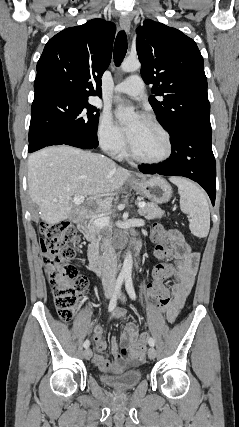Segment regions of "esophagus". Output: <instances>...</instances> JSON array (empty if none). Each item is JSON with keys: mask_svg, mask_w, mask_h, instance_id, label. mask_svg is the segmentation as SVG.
<instances>
[{"mask_svg": "<svg viewBox=\"0 0 239 427\" xmlns=\"http://www.w3.org/2000/svg\"><path fill=\"white\" fill-rule=\"evenodd\" d=\"M120 26L127 33H130V20L127 16L120 17Z\"/></svg>", "mask_w": 239, "mask_h": 427, "instance_id": "1", "label": "esophagus"}]
</instances>
